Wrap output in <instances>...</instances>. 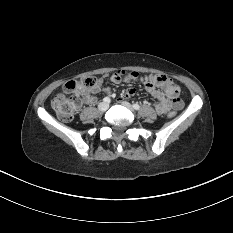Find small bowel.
<instances>
[{
  "mask_svg": "<svg viewBox=\"0 0 233 233\" xmlns=\"http://www.w3.org/2000/svg\"><path fill=\"white\" fill-rule=\"evenodd\" d=\"M109 79L112 83L118 84L122 81L136 80L145 84L146 90L157 99L154 107L158 114L164 115L170 110H178L183 106L182 101L178 97L180 89L170 78L164 75H146L137 79H130L121 76L118 72L109 75ZM103 78L97 80L96 86L92 90L97 93L100 91L109 92V88L103 87ZM135 94L134 88H128L124 92V97H131ZM96 101V98L92 94L84 95V102L92 105Z\"/></svg>",
  "mask_w": 233,
  "mask_h": 233,
  "instance_id": "1",
  "label": "small bowel"
}]
</instances>
